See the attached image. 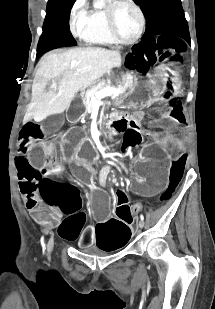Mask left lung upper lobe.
<instances>
[{
  "instance_id": "5c2ea615",
  "label": "left lung upper lobe",
  "mask_w": 215,
  "mask_h": 309,
  "mask_svg": "<svg viewBox=\"0 0 215 309\" xmlns=\"http://www.w3.org/2000/svg\"><path fill=\"white\" fill-rule=\"evenodd\" d=\"M146 18L143 38L178 36L190 43L188 24L181 0H136Z\"/></svg>"
}]
</instances>
